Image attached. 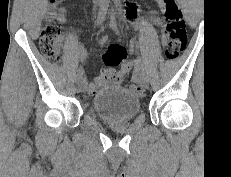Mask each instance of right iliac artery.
I'll use <instances>...</instances> for the list:
<instances>
[{"label": "right iliac artery", "mask_w": 231, "mask_h": 177, "mask_svg": "<svg viewBox=\"0 0 231 177\" xmlns=\"http://www.w3.org/2000/svg\"><path fill=\"white\" fill-rule=\"evenodd\" d=\"M108 6H109L108 1H104L102 3L99 13H98L97 21H96L97 26L103 23L105 16L107 14ZM83 74H84V70L82 67H80L77 72L78 79H81L83 77Z\"/></svg>", "instance_id": "1"}]
</instances>
